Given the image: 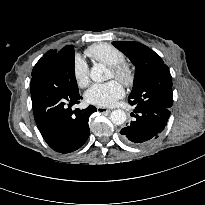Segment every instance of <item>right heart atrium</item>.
I'll return each mask as SVG.
<instances>
[{"label":"right heart atrium","mask_w":205,"mask_h":205,"mask_svg":"<svg viewBox=\"0 0 205 205\" xmlns=\"http://www.w3.org/2000/svg\"><path fill=\"white\" fill-rule=\"evenodd\" d=\"M72 76L76 85L80 88L86 87L90 82L89 66L79 54H75L73 57Z\"/></svg>","instance_id":"d8ad5b80"}]
</instances>
